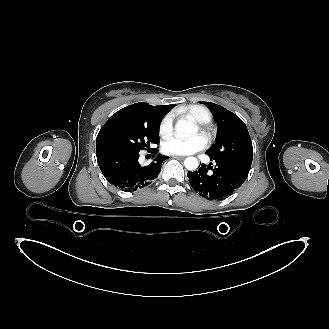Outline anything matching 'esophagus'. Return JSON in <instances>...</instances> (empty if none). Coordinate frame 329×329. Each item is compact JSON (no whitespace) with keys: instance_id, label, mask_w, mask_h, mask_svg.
Returning a JSON list of instances; mask_svg holds the SVG:
<instances>
[{"instance_id":"esophagus-1","label":"esophagus","mask_w":329,"mask_h":329,"mask_svg":"<svg viewBox=\"0 0 329 329\" xmlns=\"http://www.w3.org/2000/svg\"><path fill=\"white\" fill-rule=\"evenodd\" d=\"M172 157L173 158H179V159H184L185 158L184 156H177V155H173Z\"/></svg>"}]
</instances>
